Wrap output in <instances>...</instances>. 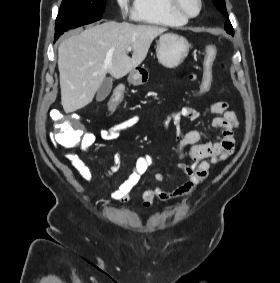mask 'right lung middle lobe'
Returning <instances> with one entry per match:
<instances>
[{
  "label": "right lung middle lobe",
  "mask_w": 280,
  "mask_h": 283,
  "mask_svg": "<svg viewBox=\"0 0 280 283\" xmlns=\"http://www.w3.org/2000/svg\"><path fill=\"white\" fill-rule=\"evenodd\" d=\"M107 0H63L56 18L55 38L68 29L100 20Z\"/></svg>",
  "instance_id": "obj_1"
}]
</instances>
